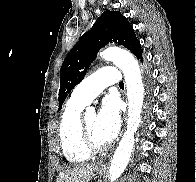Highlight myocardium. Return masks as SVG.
<instances>
[{
	"label": "myocardium",
	"mask_w": 196,
	"mask_h": 182,
	"mask_svg": "<svg viewBox=\"0 0 196 182\" xmlns=\"http://www.w3.org/2000/svg\"><path fill=\"white\" fill-rule=\"evenodd\" d=\"M79 139L82 147L90 154L103 152L107 148L105 143L96 144L92 141L86 126L85 115H82L79 120Z\"/></svg>",
	"instance_id": "obj_1"
}]
</instances>
